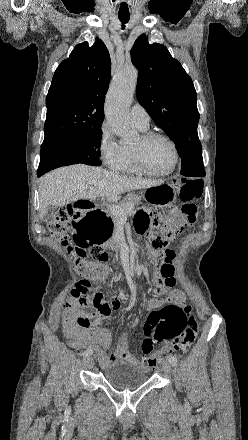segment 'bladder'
Wrapping results in <instances>:
<instances>
[{"instance_id": "1", "label": "bladder", "mask_w": 248, "mask_h": 440, "mask_svg": "<svg viewBox=\"0 0 248 440\" xmlns=\"http://www.w3.org/2000/svg\"><path fill=\"white\" fill-rule=\"evenodd\" d=\"M103 378L116 389H131L147 381L148 370L127 362H116L105 368Z\"/></svg>"}]
</instances>
